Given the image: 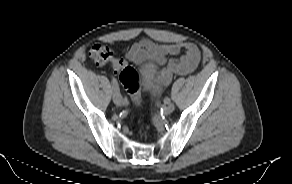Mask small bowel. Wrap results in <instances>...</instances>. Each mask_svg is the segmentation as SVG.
<instances>
[{"mask_svg":"<svg viewBox=\"0 0 292 184\" xmlns=\"http://www.w3.org/2000/svg\"><path fill=\"white\" fill-rule=\"evenodd\" d=\"M125 55L129 61L137 65L150 61L164 65L155 76V81L160 87L168 85L175 75L192 73L200 61V51L191 42L159 44L149 39H142L131 45ZM125 65L127 62L123 59L112 60V66L116 72Z\"/></svg>","mask_w":292,"mask_h":184,"instance_id":"1","label":"small bowel"}]
</instances>
